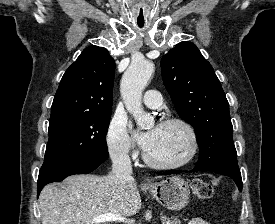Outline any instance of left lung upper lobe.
<instances>
[{"label": "left lung upper lobe", "instance_id": "obj_1", "mask_svg": "<svg viewBox=\"0 0 275 224\" xmlns=\"http://www.w3.org/2000/svg\"><path fill=\"white\" fill-rule=\"evenodd\" d=\"M162 78L178 115L194 127L197 165L240 174L229 104L212 66L191 42H180L161 60Z\"/></svg>", "mask_w": 275, "mask_h": 224}]
</instances>
